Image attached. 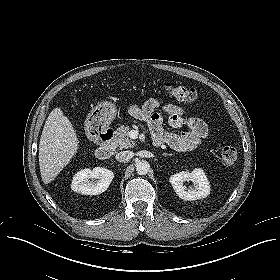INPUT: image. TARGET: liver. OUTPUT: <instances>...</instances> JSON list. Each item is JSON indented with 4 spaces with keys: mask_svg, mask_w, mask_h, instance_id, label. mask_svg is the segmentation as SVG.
<instances>
[{
    "mask_svg": "<svg viewBox=\"0 0 280 280\" xmlns=\"http://www.w3.org/2000/svg\"><path fill=\"white\" fill-rule=\"evenodd\" d=\"M78 150L77 134L60 108L49 114L39 143V166L42 180L50 183L69 164Z\"/></svg>",
    "mask_w": 280,
    "mask_h": 280,
    "instance_id": "liver-1",
    "label": "liver"
}]
</instances>
